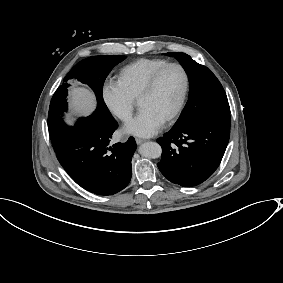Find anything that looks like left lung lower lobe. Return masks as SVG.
I'll list each match as a JSON object with an SVG mask.
<instances>
[{"mask_svg":"<svg viewBox=\"0 0 283 283\" xmlns=\"http://www.w3.org/2000/svg\"><path fill=\"white\" fill-rule=\"evenodd\" d=\"M230 137V116L209 117L186 127L174 126L157 142L162 147L161 173L184 187L208 179L219 166Z\"/></svg>","mask_w":283,"mask_h":283,"instance_id":"left-lung-lower-lobe-1","label":"left lung lower lobe"}]
</instances>
